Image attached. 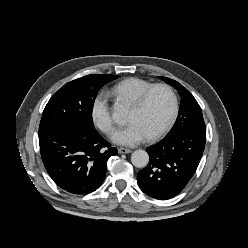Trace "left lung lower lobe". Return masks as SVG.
I'll list each match as a JSON object with an SVG mask.
<instances>
[{"label": "left lung lower lobe", "mask_w": 248, "mask_h": 248, "mask_svg": "<svg viewBox=\"0 0 248 248\" xmlns=\"http://www.w3.org/2000/svg\"><path fill=\"white\" fill-rule=\"evenodd\" d=\"M206 142V132L181 130L148 148V165L138 172L137 182L147 195L166 200L179 194L190 181Z\"/></svg>", "instance_id": "left-lung-lower-lobe-1"}]
</instances>
